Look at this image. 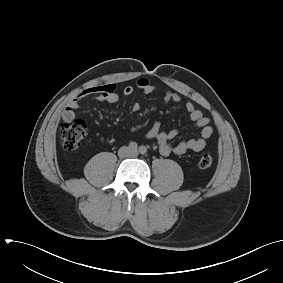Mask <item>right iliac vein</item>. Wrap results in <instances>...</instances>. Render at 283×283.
<instances>
[{"label": "right iliac vein", "instance_id": "right-iliac-vein-1", "mask_svg": "<svg viewBox=\"0 0 283 283\" xmlns=\"http://www.w3.org/2000/svg\"><path fill=\"white\" fill-rule=\"evenodd\" d=\"M128 152H129L128 148H123V149H122V153L126 154V153H128Z\"/></svg>", "mask_w": 283, "mask_h": 283}]
</instances>
